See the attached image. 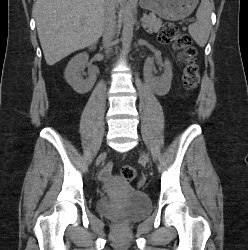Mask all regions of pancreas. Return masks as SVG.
<instances>
[{"mask_svg":"<svg viewBox=\"0 0 248 250\" xmlns=\"http://www.w3.org/2000/svg\"><path fill=\"white\" fill-rule=\"evenodd\" d=\"M146 21L143 23V27L149 33L158 32L162 27L161 19L157 18L154 14L144 15Z\"/></svg>","mask_w":248,"mask_h":250,"instance_id":"pancreas-1","label":"pancreas"}]
</instances>
